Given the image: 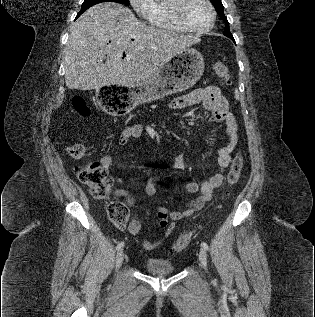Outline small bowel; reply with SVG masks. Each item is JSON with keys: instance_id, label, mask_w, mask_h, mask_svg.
I'll list each match as a JSON object with an SVG mask.
<instances>
[{"instance_id": "small-bowel-1", "label": "small bowel", "mask_w": 315, "mask_h": 317, "mask_svg": "<svg viewBox=\"0 0 315 317\" xmlns=\"http://www.w3.org/2000/svg\"><path fill=\"white\" fill-rule=\"evenodd\" d=\"M195 104H202L203 108L210 113L213 122H223L225 124L227 141L217 152L219 171L201 184L195 182L186 184V192L195 195V197L187 203V207L184 210H170L162 205L156 207V214L159 220L158 225L160 229L164 231V234L163 237L157 241H151L149 239L142 240L141 244L146 250H153L161 245L163 241L172 234L177 221L191 217L196 211L202 209L207 202L211 201L213 193L223 183L224 170L229 166L231 162V153L238 142V126L235 116L230 111L227 100L221 94L220 89L217 86H209L186 94L174 100L171 103V108L180 110ZM143 130L144 126L142 124H135L127 127L119 136L118 147L125 145L131 139L139 137ZM100 162L108 169L113 164V157L111 154H105ZM174 168L178 170L185 169V158L182 153L175 157ZM157 181L158 180L155 177L148 180L145 187L147 195L154 196L157 193ZM120 194L127 197L129 203L133 204V199L127 192L122 191ZM128 230L133 236L139 234L141 230V221L137 216H134L131 219Z\"/></svg>"}]
</instances>
